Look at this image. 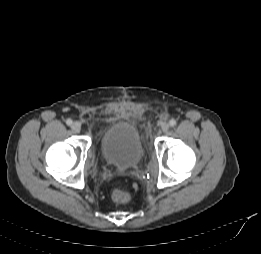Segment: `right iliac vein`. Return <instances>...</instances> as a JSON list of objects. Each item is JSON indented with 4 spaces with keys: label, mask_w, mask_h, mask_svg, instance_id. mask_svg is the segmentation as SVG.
I'll use <instances>...</instances> for the list:
<instances>
[{
    "label": "right iliac vein",
    "mask_w": 261,
    "mask_h": 254,
    "mask_svg": "<svg viewBox=\"0 0 261 254\" xmlns=\"http://www.w3.org/2000/svg\"><path fill=\"white\" fill-rule=\"evenodd\" d=\"M71 129H72L75 133H79L80 130H81V125H80V123L74 122V123L71 125Z\"/></svg>",
    "instance_id": "63e3f726"
}]
</instances>
